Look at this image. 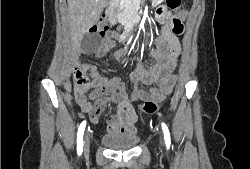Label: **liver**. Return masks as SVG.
<instances>
[{
  "label": "liver",
  "instance_id": "1",
  "mask_svg": "<svg viewBox=\"0 0 250 169\" xmlns=\"http://www.w3.org/2000/svg\"><path fill=\"white\" fill-rule=\"evenodd\" d=\"M74 48L89 28L97 22L108 0H67Z\"/></svg>",
  "mask_w": 250,
  "mask_h": 169
}]
</instances>
